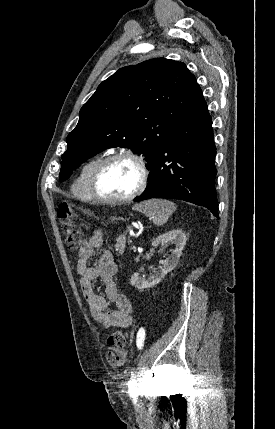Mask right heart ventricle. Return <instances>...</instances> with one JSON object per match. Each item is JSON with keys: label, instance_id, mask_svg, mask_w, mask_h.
I'll list each match as a JSON object with an SVG mask.
<instances>
[{"label": "right heart ventricle", "instance_id": "e07e8e85", "mask_svg": "<svg viewBox=\"0 0 275 429\" xmlns=\"http://www.w3.org/2000/svg\"><path fill=\"white\" fill-rule=\"evenodd\" d=\"M102 159L103 156H96L80 168L71 185V191L78 199L86 202L93 200L89 190V180L94 168Z\"/></svg>", "mask_w": 275, "mask_h": 429}]
</instances>
